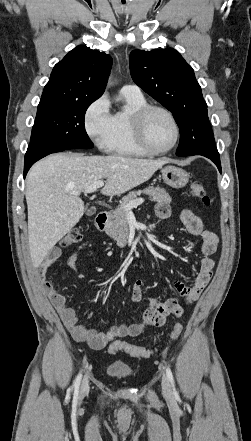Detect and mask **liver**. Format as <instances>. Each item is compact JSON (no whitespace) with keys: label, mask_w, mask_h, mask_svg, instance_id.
I'll return each instance as SVG.
<instances>
[{"label":"liver","mask_w":251,"mask_h":441,"mask_svg":"<svg viewBox=\"0 0 251 441\" xmlns=\"http://www.w3.org/2000/svg\"><path fill=\"white\" fill-rule=\"evenodd\" d=\"M168 159H138L120 155L54 154L30 169L26 179L29 250L34 267L82 218L84 192L106 179L104 195H119L147 181Z\"/></svg>","instance_id":"1"}]
</instances>
